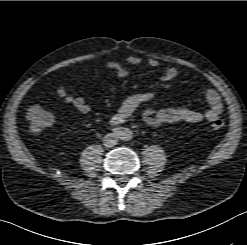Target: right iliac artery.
Segmentation results:
<instances>
[{
    "label": "right iliac artery",
    "instance_id": "obj_1",
    "mask_svg": "<svg viewBox=\"0 0 247 245\" xmlns=\"http://www.w3.org/2000/svg\"><path fill=\"white\" fill-rule=\"evenodd\" d=\"M114 132H117V129H113Z\"/></svg>",
    "mask_w": 247,
    "mask_h": 245
}]
</instances>
